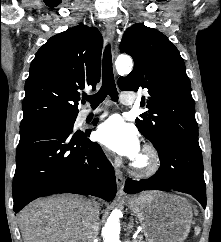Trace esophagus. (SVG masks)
I'll use <instances>...</instances> for the list:
<instances>
[{
    "label": "esophagus",
    "instance_id": "obj_1",
    "mask_svg": "<svg viewBox=\"0 0 221 242\" xmlns=\"http://www.w3.org/2000/svg\"><path fill=\"white\" fill-rule=\"evenodd\" d=\"M106 33L108 38L113 41L114 40V36H115V24L113 21H108L106 24ZM116 175V182H117V187H118V193L119 195H123L124 194V183H125V179H124V175L122 173L121 170L117 169L115 172Z\"/></svg>",
    "mask_w": 221,
    "mask_h": 242
}]
</instances>
